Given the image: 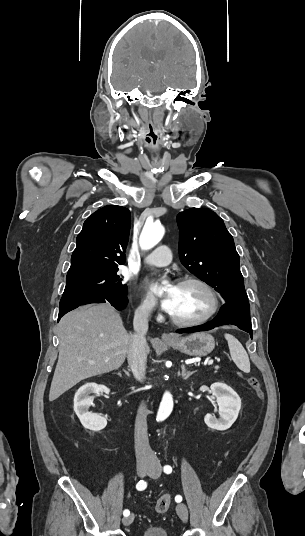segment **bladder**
Returning <instances> with one entry per match:
<instances>
[{
	"mask_svg": "<svg viewBox=\"0 0 305 536\" xmlns=\"http://www.w3.org/2000/svg\"><path fill=\"white\" fill-rule=\"evenodd\" d=\"M136 536H169L166 527L153 526L144 530V533Z\"/></svg>",
	"mask_w": 305,
	"mask_h": 536,
	"instance_id": "obj_1",
	"label": "bladder"
}]
</instances>
